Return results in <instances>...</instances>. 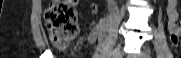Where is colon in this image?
<instances>
[{
    "instance_id": "5ec220e1",
    "label": "colon",
    "mask_w": 181,
    "mask_h": 58,
    "mask_svg": "<svg viewBox=\"0 0 181 58\" xmlns=\"http://www.w3.org/2000/svg\"><path fill=\"white\" fill-rule=\"evenodd\" d=\"M77 4L78 0H53L45 12L52 43L60 50L66 49L78 34Z\"/></svg>"
}]
</instances>
